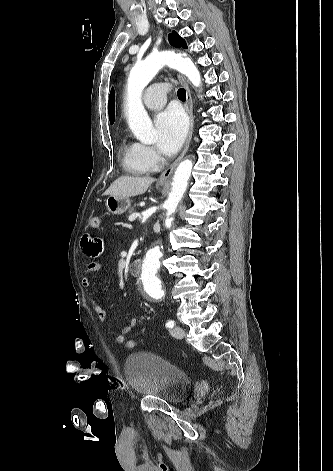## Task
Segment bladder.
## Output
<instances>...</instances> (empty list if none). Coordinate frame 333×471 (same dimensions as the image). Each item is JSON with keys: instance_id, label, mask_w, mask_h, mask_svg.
Returning a JSON list of instances; mask_svg holds the SVG:
<instances>
[{"instance_id": "1", "label": "bladder", "mask_w": 333, "mask_h": 471, "mask_svg": "<svg viewBox=\"0 0 333 471\" xmlns=\"http://www.w3.org/2000/svg\"><path fill=\"white\" fill-rule=\"evenodd\" d=\"M124 373L130 388L136 394L171 404L183 401L193 384L190 376L182 369L150 352L129 355L125 361Z\"/></svg>"}]
</instances>
